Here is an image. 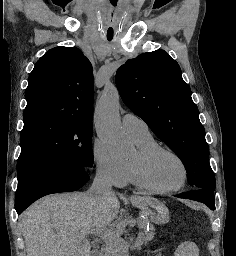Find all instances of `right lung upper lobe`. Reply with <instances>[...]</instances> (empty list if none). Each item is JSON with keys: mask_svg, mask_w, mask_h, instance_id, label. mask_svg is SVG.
Wrapping results in <instances>:
<instances>
[{"mask_svg": "<svg viewBox=\"0 0 236 256\" xmlns=\"http://www.w3.org/2000/svg\"><path fill=\"white\" fill-rule=\"evenodd\" d=\"M25 96L24 121L50 117L92 122V65L77 48H53L36 63Z\"/></svg>", "mask_w": 236, "mask_h": 256, "instance_id": "right-lung-upper-lobe-1", "label": "right lung upper lobe"}]
</instances>
